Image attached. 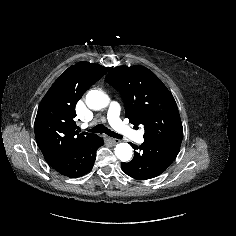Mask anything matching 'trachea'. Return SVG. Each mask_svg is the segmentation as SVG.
<instances>
[{"label":"trachea","instance_id":"trachea-1","mask_svg":"<svg viewBox=\"0 0 236 236\" xmlns=\"http://www.w3.org/2000/svg\"><path fill=\"white\" fill-rule=\"evenodd\" d=\"M88 132L100 133V134L106 133L108 136L113 137V138H117V139H121L122 138V136L120 134L111 131L110 129L105 127L103 124L96 125L92 129L88 130Z\"/></svg>","mask_w":236,"mask_h":236}]
</instances>
